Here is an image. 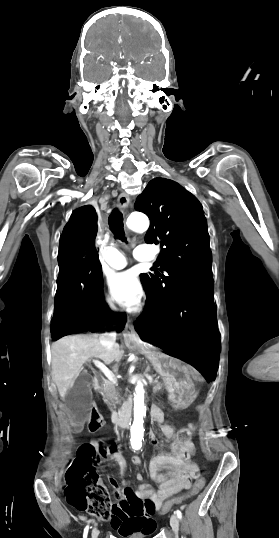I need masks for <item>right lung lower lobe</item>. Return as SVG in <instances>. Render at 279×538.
Here are the masks:
<instances>
[{"label":"right lung lower lobe","mask_w":279,"mask_h":538,"mask_svg":"<svg viewBox=\"0 0 279 538\" xmlns=\"http://www.w3.org/2000/svg\"><path fill=\"white\" fill-rule=\"evenodd\" d=\"M97 215L92 206L75 210L60 236V266L51 321V335L98 331L100 326L116 322L121 331L125 314L110 312L103 295L102 270L95 248Z\"/></svg>","instance_id":"right-lung-lower-lobe-1"}]
</instances>
